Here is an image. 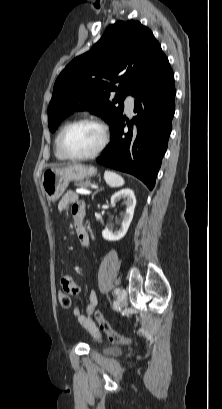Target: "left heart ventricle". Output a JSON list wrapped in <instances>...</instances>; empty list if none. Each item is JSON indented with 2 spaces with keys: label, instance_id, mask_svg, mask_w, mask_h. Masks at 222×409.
Segmentation results:
<instances>
[{
  "label": "left heart ventricle",
  "instance_id": "left-heart-ventricle-1",
  "mask_svg": "<svg viewBox=\"0 0 222 409\" xmlns=\"http://www.w3.org/2000/svg\"><path fill=\"white\" fill-rule=\"evenodd\" d=\"M102 142V131L94 124H81L74 127L67 135L65 146L72 155L93 153Z\"/></svg>",
  "mask_w": 222,
  "mask_h": 409
}]
</instances>
